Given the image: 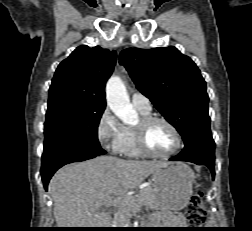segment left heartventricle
Listing matches in <instances>:
<instances>
[{
	"instance_id": "left-heart-ventricle-1",
	"label": "left heart ventricle",
	"mask_w": 252,
	"mask_h": 231,
	"mask_svg": "<svg viewBox=\"0 0 252 231\" xmlns=\"http://www.w3.org/2000/svg\"><path fill=\"white\" fill-rule=\"evenodd\" d=\"M147 143L155 153L166 154L174 148L176 139L166 124L156 122L147 132Z\"/></svg>"
}]
</instances>
